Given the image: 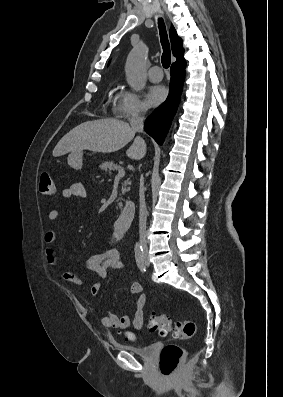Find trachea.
I'll use <instances>...</instances> for the list:
<instances>
[{
    "label": "trachea",
    "mask_w": 283,
    "mask_h": 397,
    "mask_svg": "<svg viewBox=\"0 0 283 397\" xmlns=\"http://www.w3.org/2000/svg\"><path fill=\"white\" fill-rule=\"evenodd\" d=\"M158 28L160 31L161 44L163 47V54L161 57V62H162L163 67L165 69H167L171 63V52H170V44L168 41L166 27H165V24H164V21L162 18L158 19Z\"/></svg>",
    "instance_id": "1"
}]
</instances>
